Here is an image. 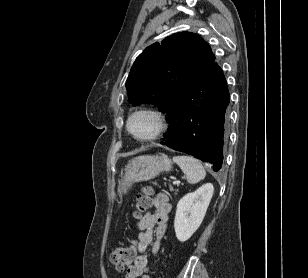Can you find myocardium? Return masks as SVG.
<instances>
[{
  "instance_id": "obj_1",
  "label": "myocardium",
  "mask_w": 308,
  "mask_h": 278,
  "mask_svg": "<svg viewBox=\"0 0 308 278\" xmlns=\"http://www.w3.org/2000/svg\"><path fill=\"white\" fill-rule=\"evenodd\" d=\"M139 114H148L151 115L155 121H156V128L153 131V133L147 137H138L137 135H135L130 127L131 121L132 119L139 115ZM167 128V120L165 115L158 109L155 108H151V107H143V108H139L136 109L135 111H133L126 122V129L128 131V133L137 141L139 142H152L157 140L158 138H160L163 133L165 132Z\"/></svg>"
}]
</instances>
